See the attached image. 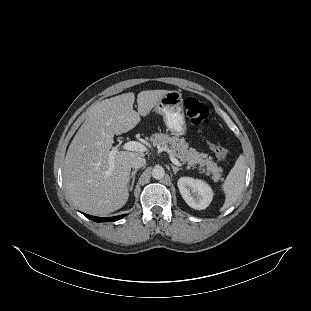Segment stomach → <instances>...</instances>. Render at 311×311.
<instances>
[{
	"mask_svg": "<svg viewBox=\"0 0 311 311\" xmlns=\"http://www.w3.org/2000/svg\"><path fill=\"white\" fill-rule=\"evenodd\" d=\"M154 112L161 115L168 131L176 136L187 133L182 93L169 91L154 107Z\"/></svg>",
	"mask_w": 311,
	"mask_h": 311,
	"instance_id": "0dacf381",
	"label": "stomach"
}]
</instances>
